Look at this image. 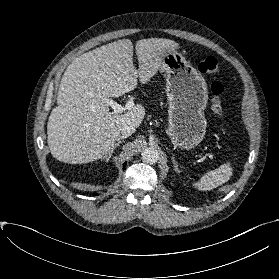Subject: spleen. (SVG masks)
Instances as JSON below:
<instances>
[{
    "mask_svg": "<svg viewBox=\"0 0 279 279\" xmlns=\"http://www.w3.org/2000/svg\"><path fill=\"white\" fill-rule=\"evenodd\" d=\"M231 176L232 168L229 164H225L217 170L207 173L196 186L199 190H211L227 182Z\"/></svg>",
    "mask_w": 279,
    "mask_h": 279,
    "instance_id": "1",
    "label": "spleen"
}]
</instances>
